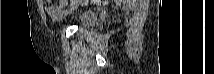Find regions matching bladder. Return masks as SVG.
I'll return each mask as SVG.
<instances>
[{
    "instance_id": "31cf9c89",
    "label": "bladder",
    "mask_w": 214,
    "mask_h": 74,
    "mask_svg": "<svg viewBox=\"0 0 214 74\" xmlns=\"http://www.w3.org/2000/svg\"><path fill=\"white\" fill-rule=\"evenodd\" d=\"M97 16L91 12H85L81 16V25L82 26H89L95 22Z\"/></svg>"
}]
</instances>
